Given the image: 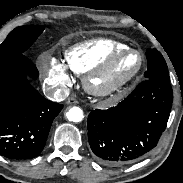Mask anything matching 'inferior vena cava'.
I'll list each match as a JSON object with an SVG mask.
<instances>
[{"label":"inferior vena cava","instance_id":"obj_1","mask_svg":"<svg viewBox=\"0 0 183 183\" xmlns=\"http://www.w3.org/2000/svg\"><path fill=\"white\" fill-rule=\"evenodd\" d=\"M44 95L52 100V101H56V102H60L63 101L67 98V96L69 95V89L67 87H47L43 90Z\"/></svg>","mask_w":183,"mask_h":183}]
</instances>
